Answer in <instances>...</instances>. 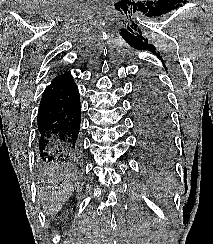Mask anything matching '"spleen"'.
I'll list each match as a JSON object with an SVG mask.
<instances>
[{
  "label": "spleen",
  "instance_id": "obj_1",
  "mask_svg": "<svg viewBox=\"0 0 213 244\" xmlns=\"http://www.w3.org/2000/svg\"><path fill=\"white\" fill-rule=\"evenodd\" d=\"M166 190L169 191L170 190V186L166 185Z\"/></svg>",
  "mask_w": 213,
  "mask_h": 244
}]
</instances>
